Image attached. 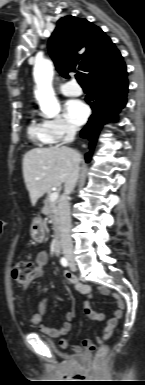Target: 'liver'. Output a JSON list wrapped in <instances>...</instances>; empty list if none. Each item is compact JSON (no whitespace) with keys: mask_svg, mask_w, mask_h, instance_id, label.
Segmentation results:
<instances>
[{"mask_svg":"<svg viewBox=\"0 0 145 385\" xmlns=\"http://www.w3.org/2000/svg\"><path fill=\"white\" fill-rule=\"evenodd\" d=\"M80 161L77 151L60 145L28 151L23 157V176L32 205L50 188L65 183L73 166Z\"/></svg>","mask_w":145,"mask_h":385,"instance_id":"liver-1","label":"liver"}]
</instances>
